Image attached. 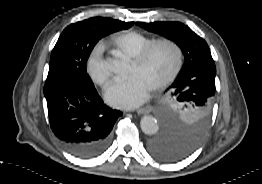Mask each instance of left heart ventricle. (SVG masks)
<instances>
[{
  "mask_svg": "<svg viewBox=\"0 0 262 184\" xmlns=\"http://www.w3.org/2000/svg\"><path fill=\"white\" fill-rule=\"evenodd\" d=\"M175 62V50L168 45H162L156 48L142 65L132 62L129 75L139 74L153 87L170 73Z\"/></svg>",
  "mask_w": 262,
  "mask_h": 184,
  "instance_id": "obj_1",
  "label": "left heart ventricle"
}]
</instances>
